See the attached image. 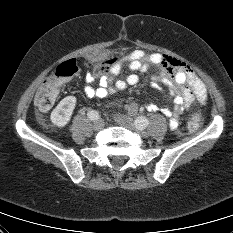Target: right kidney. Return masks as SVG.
I'll list each match as a JSON object with an SVG mask.
<instances>
[{
  "instance_id": "obj_1",
  "label": "right kidney",
  "mask_w": 233,
  "mask_h": 233,
  "mask_svg": "<svg viewBox=\"0 0 233 233\" xmlns=\"http://www.w3.org/2000/svg\"><path fill=\"white\" fill-rule=\"evenodd\" d=\"M75 105V96H67L62 99L51 113L52 123L59 128L65 127L70 121Z\"/></svg>"
}]
</instances>
